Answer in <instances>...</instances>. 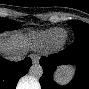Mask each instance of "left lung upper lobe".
Instances as JSON below:
<instances>
[{
    "label": "left lung upper lobe",
    "mask_w": 89,
    "mask_h": 89,
    "mask_svg": "<svg viewBox=\"0 0 89 89\" xmlns=\"http://www.w3.org/2000/svg\"><path fill=\"white\" fill-rule=\"evenodd\" d=\"M68 24H70L74 30L75 36L85 35L89 36V25L79 21V20H72L68 21Z\"/></svg>",
    "instance_id": "obj_1"
}]
</instances>
